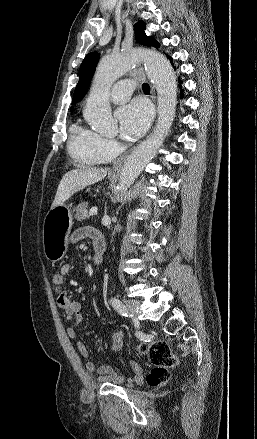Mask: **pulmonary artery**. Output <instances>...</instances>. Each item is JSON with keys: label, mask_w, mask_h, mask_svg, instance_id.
Here are the masks:
<instances>
[{"label": "pulmonary artery", "mask_w": 257, "mask_h": 439, "mask_svg": "<svg viewBox=\"0 0 257 439\" xmlns=\"http://www.w3.org/2000/svg\"><path fill=\"white\" fill-rule=\"evenodd\" d=\"M134 88L135 83L131 80H122L117 82L111 89V101L114 103H123L127 101L130 98Z\"/></svg>", "instance_id": "obj_1"}]
</instances>
